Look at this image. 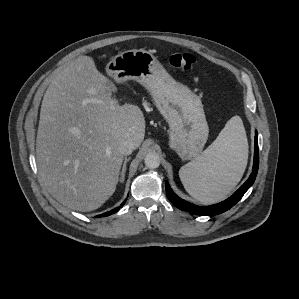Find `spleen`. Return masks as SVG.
Wrapping results in <instances>:
<instances>
[{
	"label": "spleen",
	"mask_w": 299,
	"mask_h": 299,
	"mask_svg": "<svg viewBox=\"0 0 299 299\" xmlns=\"http://www.w3.org/2000/svg\"><path fill=\"white\" fill-rule=\"evenodd\" d=\"M247 158L245 128L241 118L234 116L201 155L181 167L179 177L193 198L215 203L226 198L238 184Z\"/></svg>",
	"instance_id": "3e777b00"
}]
</instances>
